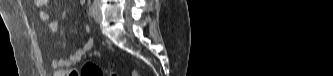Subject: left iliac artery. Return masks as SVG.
Listing matches in <instances>:
<instances>
[{"label":"left iliac artery","instance_id":"1","mask_svg":"<svg viewBox=\"0 0 333 76\" xmlns=\"http://www.w3.org/2000/svg\"><path fill=\"white\" fill-rule=\"evenodd\" d=\"M97 7H98V1L95 0V1L93 2V4H92L91 8L89 9V15H90V16H93V15H94L95 10L97 9Z\"/></svg>","mask_w":333,"mask_h":76}]
</instances>
